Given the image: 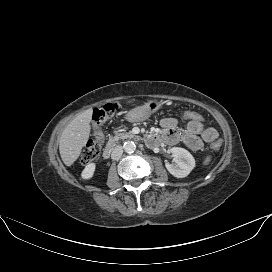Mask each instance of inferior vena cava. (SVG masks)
Here are the masks:
<instances>
[{"label":"inferior vena cava","instance_id":"obj_1","mask_svg":"<svg viewBox=\"0 0 272 272\" xmlns=\"http://www.w3.org/2000/svg\"><path fill=\"white\" fill-rule=\"evenodd\" d=\"M123 154V147L118 145L116 147H114V149L112 150L111 153V158L113 160H118Z\"/></svg>","mask_w":272,"mask_h":272}]
</instances>
